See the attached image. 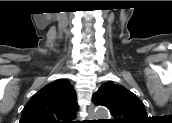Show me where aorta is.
Here are the masks:
<instances>
[{
  "label": "aorta",
  "mask_w": 172,
  "mask_h": 123,
  "mask_svg": "<svg viewBox=\"0 0 172 123\" xmlns=\"http://www.w3.org/2000/svg\"><path fill=\"white\" fill-rule=\"evenodd\" d=\"M94 117L97 119H106L109 117V111L105 107H97L93 110Z\"/></svg>",
  "instance_id": "aorta-1"
}]
</instances>
